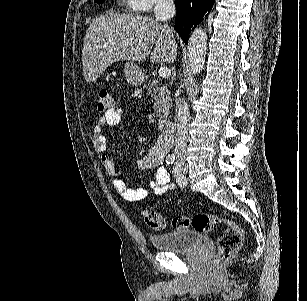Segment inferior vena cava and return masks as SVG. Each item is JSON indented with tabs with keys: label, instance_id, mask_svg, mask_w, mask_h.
Wrapping results in <instances>:
<instances>
[{
	"label": "inferior vena cava",
	"instance_id": "602c4592",
	"mask_svg": "<svg viewBox=\"0 0 307 301\" xmlns=\"http://www.w3.org/2000/svg\"><path fill=\"white\" fill-rule=\"evenodd\" d=\"M174 14H176L174 0H156L154 6V16L156 20H170V18H173ZM189 120L190 112L188 104L184 98L177 96L174 155H184V153H186Z\"/></svg>",
	"mask_w": 307,
	"mask_h": 301
}]
</instances>
